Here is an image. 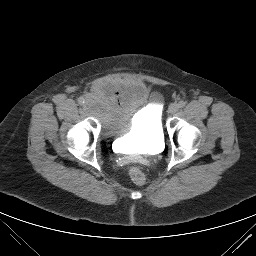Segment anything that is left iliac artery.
Wrapping results in <instances>:
<instances>
[{
	"label": "left iliac artery",
	"mask_w": 256,
	"mask_h": 256,
	"mask_svg": "<svg viewBox=\"0 0 256 256\" xmlns=\"http://www.w3.org/2000/svg\"><path fill=\"white\" fill-rule=\"evenodd\" d=\"M178 105L180 108H183L186 105V102L182 100L178 103Z\"/></svg>",
	"instance_id": "left-iliac-artery-1"
}]
</instances>
